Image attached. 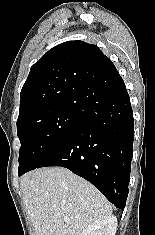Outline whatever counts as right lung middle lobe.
I'll list each match as a JSON object with an SVG mask.
<instances>
[{
	"mask_svg": "<svg viewBox=\"0 0 155 235\" xmlns=\"http://www.w3.org/2000/svg\"><path fill=\"white\" fill-rule=\"evenodd\" d=\"M83 123L78 111L59 105L41 106L19 116L17 135L21 147L18 175L35 169Z\"/></svg>",
	"mask_w": 155,
	"mask_h": 235,
	"instance_id": "obj_1",
	"label": "right lung middle lobe"
}]
</instances>
